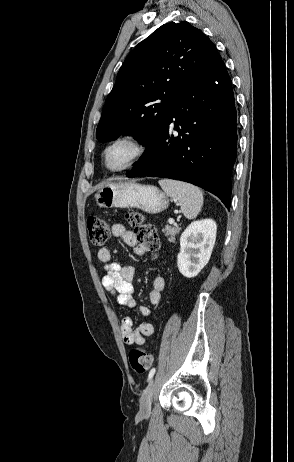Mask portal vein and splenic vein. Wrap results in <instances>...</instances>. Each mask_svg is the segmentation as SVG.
Masks as SVG:
<instances>
[{
	"label": "portal vein and splenic vein",
	"mask_w": 294,
	"mask_h": 462,
	"mask_svg": "<svg viewBox=\"0 0 294 462\" xmlns=\"http://www.w3.org/2000/svg\"><path fill=\"white\" fill-rule=\"evenodd\" d=\"M168 222H169V224H174V220H173L172 218H170V219L168 220Z\"/></svg>",
	"instance_id": "18ae733b"
}]
</instances>
